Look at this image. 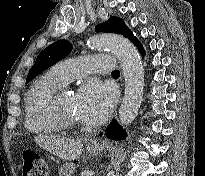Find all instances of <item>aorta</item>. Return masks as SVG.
I'll return each mask as SVG.
<instances>
[{
  "label": "aorta",
  "instance_id": "762f6f07",
  "mask_svg": "<svg viewBox=\"0 0 205 176\" xmlns=\"http://www.w3.org/2000/svg\"><path fill=\"white\" fill-rule=\"evenodd\" d=\"M91 49H109L119 60L125 78V93L119 110L122 125L130 124L138 114L144 90V68L137 49L125 37L101 34L88 40Z\"/></svg>",
  "mask_w": 205,
  "mask_h": 176
}]
</instances>
